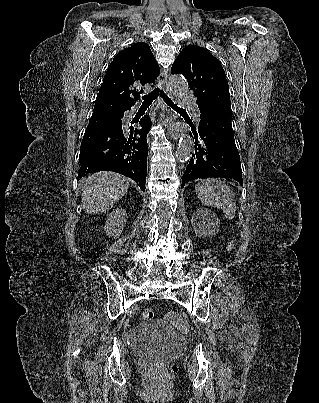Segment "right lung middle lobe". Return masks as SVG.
<instances>
[{
  "label": "right lung middle lobe",
  "instance_id": "obj_1",
  "mask_svg": "<svg viewBox=\"0 0 319 403\" xmlns=\"http://www.w3.org/2000/svg\"><path fill=\"white\" fill-rule=\"evenodd\" d=\"M107 113H112V111H107L103 109H94L93 115L107 114Z\"/></svg>",
  "mask_w": 319,
  "mask_h": 403
}]
</instances>
